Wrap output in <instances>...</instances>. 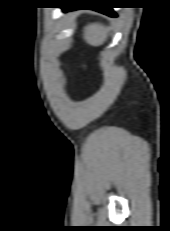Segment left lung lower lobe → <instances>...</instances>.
<instances>
[{"label":"left lung lower lobe","instance_id":"obj_1","mask_svg":"<svg viewBox=\"0 0 170 231\" xmlns=\"http://www.w3.org/2000/svg\"><path fill=\"white\" fill-rule=\"evenodd\" d=\"M84 7H66L63 8L64 11H71V10H77V9H82ZM87 9H93L96 10L98 12H101L103 14L112 16V17H116L117 15L114 13V11L112 10V8L110 7H86Z\"/></svg>","mask_w":170,"mask_h":231}]
</instances>
